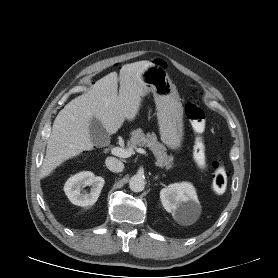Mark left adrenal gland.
Here are the masks:
<instances>
[{
  "mask_svg": "<svg viewBox=\"0 0 278 278\" xmlns=\"http://www.w3.org/2000/svg\"><path fill=\"white\" fill-rule=\"evenodd\" d=\"M158 177H159V176L157 175V176H155L154 178L157 180V179H158Z\"/></svg>",
  "mask_w": 278,
  "mask_h": 278,
  "instance_id": "1",
  "label": "left adrenal gland"
}]
</instances>
